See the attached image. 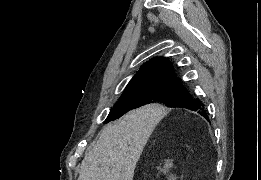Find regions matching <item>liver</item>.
Returning a JSON list of instances; mask_svg holds the SVG:
<instances>
[{
    "label": "liver",
    "instance_id": "1",
    "mask_svg": "<svg viewBox=\"0 0 261 180\" xmlns=\"http://www.w3.org/2000/svg\"><path fill=\"white\" fill-rule=\"evenodd\" d=\"M158 104L144 106L107 124L86 154L78 180H133L136 164L152 134Z\"/></svg>",
    "mask_w": 261,
    "mask_h": 180
}]
</instances>
